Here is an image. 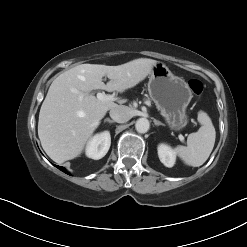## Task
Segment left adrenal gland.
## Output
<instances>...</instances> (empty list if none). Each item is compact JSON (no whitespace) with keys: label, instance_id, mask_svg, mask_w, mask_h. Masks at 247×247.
<instances>
[{"label":"left adrenal gland","instance_id":"a2214340","mask_svg":"<svg viewBox=\"0 0 247 247\" xmlns=\"http://www.w3.org/2000/svg\"><path fill=\"white\" fill-rule=\"evenodd\" d=\"M154 124H155L156 126H160V125L165 126L163 123H161L160 121H158V120H156V119H154Z\"/></svg>","mask_w":247,"mask_h":247}]
</instances>
